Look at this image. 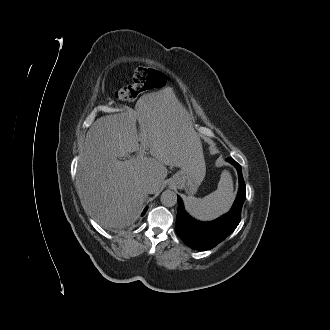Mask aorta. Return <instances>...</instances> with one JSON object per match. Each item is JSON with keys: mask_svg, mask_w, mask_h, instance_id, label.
I'll return each mask as SVG.
<instances>
[{"mask_svg": "<svg viewBox=\"0 0 330 330\" xmlns=\"http://www.w3.org/2000/svg\"><path fill=\"white\" fill-rule=\"evenodd\" d=\"M161 203L166 207H173L177 204V195L172 190H165L161 194Z\"/></svg>", "mask_w": 330, "mask_h": 330, "instance_id": "aorta-1", "label": "aorta"}]
</instances>
